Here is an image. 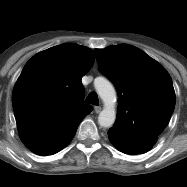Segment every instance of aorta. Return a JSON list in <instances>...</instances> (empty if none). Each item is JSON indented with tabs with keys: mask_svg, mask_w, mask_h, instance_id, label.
I'll list each match as a JSON object with an SVG mask.
<instances>
[{
	"mask_svg": "<svg viewBox=\"0 0 187 187\" xmlns=\"http://www.w3.org/2000/svg\"><path fill=\"white\" fill-rule=\"evenodd\" d=\"M94 86L104 103V108L98 117V123L103 127H110L116 119V91L113 85L103 77L96 78Z\"/></svg>",
	"mask_w": 187,
	"mask_h": 187,
	"instance_id": "762f6f07",
	"label": "aorta"
}]
</instances>
